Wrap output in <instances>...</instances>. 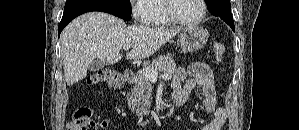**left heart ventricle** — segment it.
Wrapping results in <instances>:
<instances>
[{
    "mask_svg": "<svg viewBox=\"0 0 299 130\" xmlns=\"http://www.w3.org/2000/svg\"><path fill=\"white\" fill-rule=\"evenodd\" d=\"M172 6L175 15L183 20L195 19L201 12L199 0H174Z\"/></svg>",
    "mask_w": 299,
    "mask_h": 130,
    "instance_id": "left-heart-ventricle-1",
    "label": "left heart ventricle"
}]
</instances>
